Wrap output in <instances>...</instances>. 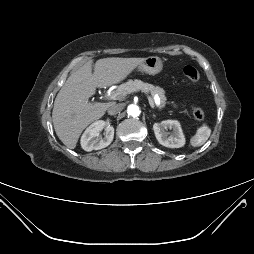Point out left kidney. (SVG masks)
I'll return each mask as SVG.
<instances>
[{
    "label": "left kidney",
    "instance_id": "left-kidney-1",
    "mask_svg": "<svg viewBox=\"0 0 254 254\" xmlns=\"http://www.w3.org/2000/svg\"><path fill=\"white\" fill-rule=\"evenodd\" d=\"M169 128L172 132L168 134L165 130ZM153 130L158 142L168 148H180L185 144V137L181 125L177 120H165L153 125Z\"/></svg>",
    "mask_w": 254,
    "mask_h": 254
}]
</instances>
